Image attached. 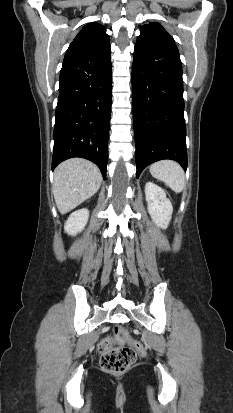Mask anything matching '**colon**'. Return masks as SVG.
<instances>
[{
    "label": "colon",
    "mask_w": 233,
    "mask_h": 413,
    "mask_svg": "<svg viewBox=\"0 0 233 413\" xmlns=\"http://www.w3.org/2000/svg\"><path fill=\"white\" fill-rule=\"evenodd\" d=\"M125 330L114 326L112 336L103 339L99 344L101 368L112 374L124 373L131 368L136 359V352H145L143 345L133 341L131 346L116 345L123 340Z\"/></svg>",
    "instance_id": "colon-1"
}]
</instances>
